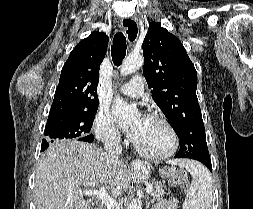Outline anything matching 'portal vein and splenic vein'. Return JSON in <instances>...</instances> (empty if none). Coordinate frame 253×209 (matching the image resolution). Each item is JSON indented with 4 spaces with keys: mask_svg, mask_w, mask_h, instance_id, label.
Returning a JSON list of instances; mask_svg holds the SVG:
<instances>
[{
    "mask_svg": "<svg viewBox=\"0 0 253 209\" xmlns=\"http://www.w3.org/2000/svg\"><path fill=\"white\" fill-rule=\"evenodd\" d=\"M153 190V185L149 184L146 187V192L150 193ZM87 196H96L101 202L107 207V209H119L120 205L106 192L104 187L99 188V190H80Z\"/></svg>",
    "mask_w": 253,
    "mask_h": 209,
    "instance_id": "1",
    "label": "portal vein and splenic vein"
}]
</instances>
